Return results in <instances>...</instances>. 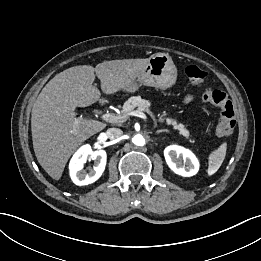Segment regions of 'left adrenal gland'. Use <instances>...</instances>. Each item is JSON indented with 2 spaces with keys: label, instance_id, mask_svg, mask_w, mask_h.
I'll return each instance as SVG.
<instances>
[{
  "label": "left adrenal gland",
  "instance_id": "obj_1",
  "mask_svg": "<svg viewBox=\"0 0 261 261\" xmlns=\"http://www.w3.org/2000/svg\"><path fill=\"white\" fill-rule=\"evenodd\" d=\"M162 132H169V131L166 130V129H162V130H158V131L156 132V134H160V133H162Z\"/></svg>",
  "mask_w": 261,
  "mask_h": 261
}]
</instances>
